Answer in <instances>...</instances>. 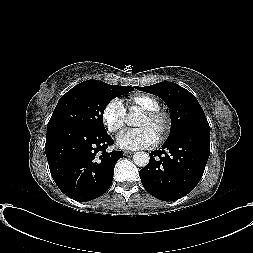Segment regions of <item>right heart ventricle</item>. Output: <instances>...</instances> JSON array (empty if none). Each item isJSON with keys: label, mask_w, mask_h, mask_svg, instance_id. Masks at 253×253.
Wrapping results in <instances>:
<instances>
[{"label": "right heart ventricle", "mask_w": 253, "mask_h": 253, "mask_svg": "<svg viewBox=\"0 0 253 253\" xmlns=\"http://www.w3.org/2000/svg\"><path fill=\"white\" fill-rule=\"evenodd\" d=\"M126 102L130 111L160 109L159 101L155 97L145 93L131 95L126 99Z\"/></svg>", "instance_id": "1"}]
</instances>
